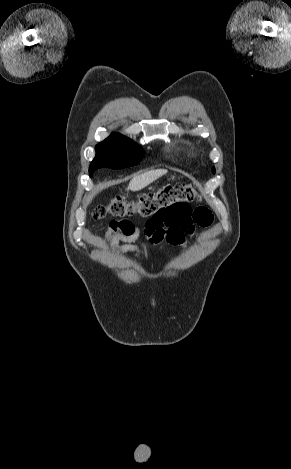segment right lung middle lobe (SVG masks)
Listing matches in <instances>:
<instances>
[{
	"instance_id": "dd1d6c3e",
	"label": "right lung middle lobe",
	"mask_w": 291,
	"mask_h": 469,
	"mask_svg": "<svg viewBox=\"0 0 291 469\" xmlns=\"http://www.w3.org/2000/svg\"><path fill=\"white\" fill-rule=\"evenodd\" d=\"M95 149L96 156L89 167L90 177L97 168H125L138 164L143 157V151L137 144L117 133L96 145Z\"/></svg>"
}]
</instances>
